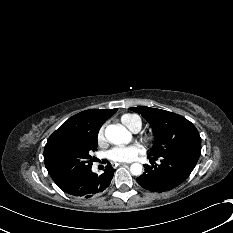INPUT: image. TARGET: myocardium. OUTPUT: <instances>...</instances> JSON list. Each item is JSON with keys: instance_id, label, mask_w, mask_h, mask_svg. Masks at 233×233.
I'll list each match as a JSON object with an SVG mask.
<instances>
[{"instance_id": "1", "label": "myocardium", "mask_w": 233, "mask_h": 233, "mask_svg": "<svg viewBox=\"0 0 233 233\" xmlns=\"http://www.w3.org/2000/svg\"><path fill=\"white\" fill-rule=\"evenodd\" d=\"M146 139H147V140H149V139H150V137H146Z\"/></svg>"}]
</instances>
